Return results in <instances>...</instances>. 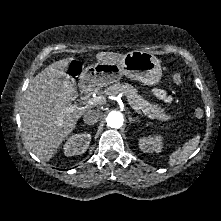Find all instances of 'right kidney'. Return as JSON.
I'll return each instance as SVG.
<instances>
[{
  "label": "right kidney",
  "instance_id": "right-kidney-1",
  "mask_svg": "<svg viewBox=\"0 0 221 221\" xmlns=\"http://www.w3.org/2000/svg\"><path fill=\"white\" fill-rule=\"evenodd\" d=\"M91 141V134L82 133L71 136L64 145V154L74 156L85 153Z\"/></svg>",
  "mask_w": 221,
  "mask_h": 221
}]
</instances>
